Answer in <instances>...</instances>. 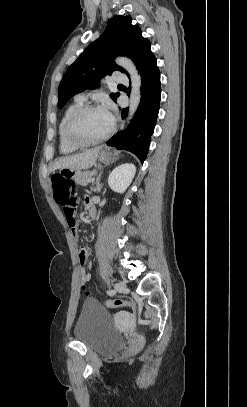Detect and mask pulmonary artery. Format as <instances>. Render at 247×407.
I'll return each instance as SVG.
<instances>
[{
    "label": "pulmonary artery",
    "mask_w": 247,
    "mask_h": 407,
    "mask_svg": "<svg viewBox=\"0 0 247 407\" xmlns=\"http://www.w3.org/2000/svg\"><path fill=\"white\" fill-rule=\"evenodd\" d=\"M128 76L125 74H122L120 72H114L113 76H112V81L116 82V83H120V84H124V83H128ZM86 97L83 93L79 94L76 96V99L79 100H84Z\"/></svg>",
    "instance_id": "e3ab8cb5"
}]
</instances>
